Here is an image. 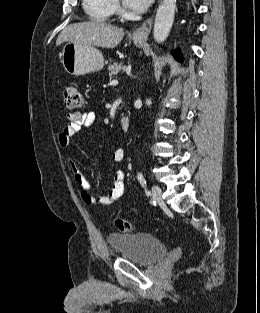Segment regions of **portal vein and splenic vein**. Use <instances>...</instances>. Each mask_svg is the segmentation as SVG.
<instances>
[{"label":"portal vein and splenic vein","mask_w":260,"mask_h":313,"mask_svg":"<svg viewBox=\"0 0 260 313\" xmlns=\"http://www.w3.org/2000/svg\"><path fill=\"white\" fill-rule=\"evenodd\" d=\"M111 84H112V85H116V84H118V81H117V80H113V81L111 82Z\"/></svg>","instance_id":"18ae733b"}]
</instances>
